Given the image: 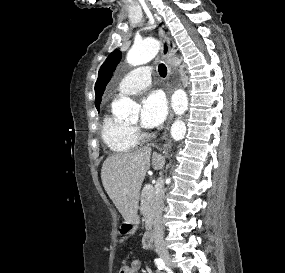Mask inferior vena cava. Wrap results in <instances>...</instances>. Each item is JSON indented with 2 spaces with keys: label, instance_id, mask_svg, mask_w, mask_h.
I'll use <instances>...</instances> for the list:
<instances>
[{
  "label": "inferior vena cava",
  "instance_id": "obj_1",
  "mask_svg": "<svg viewBox=\"0 0 285 273\" xmlns=\"http://www.w3.org/2000/svg\"><path fill=\"white\" fill-rule=\"evenodd\" d=\"M164 180L159 178L153 202V238L155 251L158 254H167L164 243V232L162 224V212L164 207Z\"/></svg>",
  "mask_w": 285,
  "mask_h": 273
}]
</instances>
